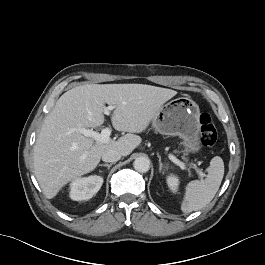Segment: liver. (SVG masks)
I'll return each mask as SVG.
<instances>
[{
  "label": "liver",
  "instance_id": "1",
  "mask_svg": "<svg viewBox=\"0 0 265 265\" xmlns=\"http://www.w3.org/2000/svg\"><path fill=\"white\" fill-rule=\"evenodd\" d=\"M176 94L145 84H87L65 92L46 116L34 146V172L46 198H54L68 182L93 171L105 151L131 154L142 142L136 134L145 131L162 105ZM105 104L114 106L115 130L128 133L100 143L78 128L100 127Z\"/></svg>",
  "mask_w": 265,
  "mask_h": 265
}]
</instances>
